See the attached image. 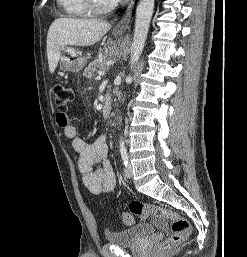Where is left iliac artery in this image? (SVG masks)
Masks as SVG:
<instances>
[{
  "instance_id": "left-iliac-artery-1",
  "label": "left iliac artery",
  "mask_w": 247,
  "mask_h": 257,
  "mask_svg": "<svg viewBox=\"0 0 247 257\" xmlns=\"http://www.w3.org/2000/svg\"><path fill=\"white\" fill-rule=\"evenodd\" d=\"M120 153H121V158L123 160V164L125 166L128 165V154H127V149L125 146V143L123 140L120 141Z\"/></svg>"
}]
</instances>
